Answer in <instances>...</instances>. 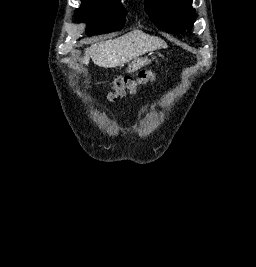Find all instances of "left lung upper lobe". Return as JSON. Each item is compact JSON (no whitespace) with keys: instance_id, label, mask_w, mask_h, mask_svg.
<instances>
[{"instance_id":"1","label":"left lung upper lobe","mask_w":256,"mask_h":267,"mask_svg":"<svg viewBox=\"0 0 256 267\" xmlns=\"http://www.w3.org/2000/svg\"><path fill=\"white\" fill-rule=\"evenodd\" d=\"M193 0H146L145 10L151 21L160 29L172 33L190 30L194 19L195 9Z\"/></svg>"}]
</instances>
